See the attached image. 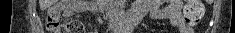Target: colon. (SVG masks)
<instances>
[{
  "label": "colon",
  "instance_id": "obj_1",
  "mask_svg": "<svg viewBox=\"0 0 235 33\" xmlns=\"http://www.w3.org/2000/svg\"><path fill=\"white\" fill-rule=\"evenodd\" d=\"M203 15V7L199 0H187L184 7L185 21L189 25H195ZM46 29L49 33H85L86 26L79 20L67 22L60 21V12L51 10L46 19Z\"/></svg>",
  "mask_w": 235,
  "mask_h": 33
}]
</instances>
